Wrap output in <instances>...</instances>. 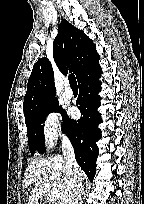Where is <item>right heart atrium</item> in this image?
Returning a JSON list of instances; mask_svg holds the SVG:
<instances>
[{
  "mask_svg": "<svg viewBox=\"0 0 144 204\" xmlns=\"http://www.w3.org/2000/svg\"><path fill=\"white\" fill-rule=\"evenodd\" d=\"M41 128L43 141L48 147L55 145L65 134L61 118L55 111H50L44 116Z\"/></svg>",
  "mask_w": 144,
  "mask_h": 204,
  "instance_id": "obj_1",
  "label": "right heart atrium"
}]
</instances>
